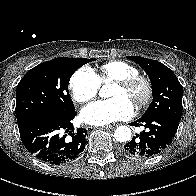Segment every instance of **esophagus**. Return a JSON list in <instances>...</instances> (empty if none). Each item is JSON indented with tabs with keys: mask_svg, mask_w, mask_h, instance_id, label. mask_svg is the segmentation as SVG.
<instances>
[{
	"mask_svg": "<svg viewBox=\"0 0 196 196\" xmlns=\"http://www.w3.org/2000/svg\"><path fill=\"white\" fill-rule=\"evenodd\" d=\"M114 127H116V125H107V126H104V128H110V129H113Z\"/></svg>",
	"mask_w": 196,
	"mask_h": 196,
	"instance_id": "1",
	"label": "esophagus"
}]
</instances>
